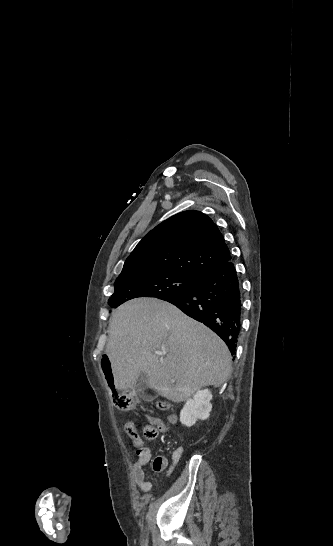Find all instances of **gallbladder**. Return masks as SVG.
I'll list each match as a JSON object with an SVG mask.
<instances>
[{
    "label": "gallbladder",
    "instance_id": "gallbladder-1",
    "mask_svg": "<svg viewBox=\"0 0 333 546\" xmlns=\"http://www.w3.org/2000/svg\"><path fill=\"white\" fill-rule=\"evenodd\" d=\"M148 390V376L145 373H142L137 378L136 384L134 386L135 393L142 399H152V396L146 394Z\"/></svg>",
    "mask_w": 333,
    "mask_h": 546
}]
</instances>
